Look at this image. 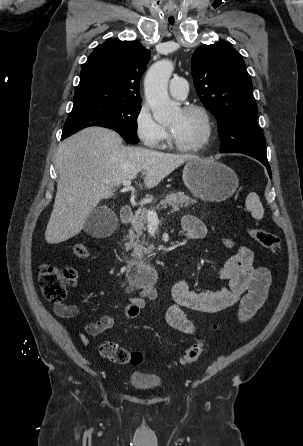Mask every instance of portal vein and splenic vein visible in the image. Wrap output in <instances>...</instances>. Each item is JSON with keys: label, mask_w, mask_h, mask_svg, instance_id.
<instances>
[{"label": "portal vein and splenic vein", "mask_w": 303, "mask_h": 446, "mask_svg": "<svg viewBox=\"0 0 303 446\" xmlns=\"http://www.w3.org/2000/svg\"><path fill=\"white\" fill-rule=\"evenodd\" d=\"M130 185H131V180L123 181V186L124 187H129ZM147 220L151 224H158L159 223V219H158L157 213L154 212V211H147Z\"/></svg>", "instance_id": "portal-vein-and-splenic-vein-1"}]
</instances>
